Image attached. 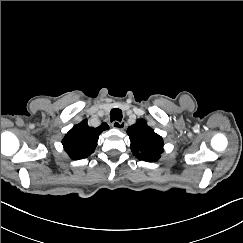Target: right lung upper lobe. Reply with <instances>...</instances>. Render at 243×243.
I'll use <instances>...</instances> for the list:
<instances>
[{
  "mask_svg": "<svg viewBox=\"0 0 243 243\" xmlns=\"http://www.w3.org/2000/svg\"><path fill=\"white\" fill-rule=\"evenodd\" d=\"M108 128L106 123L97 128L90 127L85 119L65 135L62 141L63 147L73 160L88 157L94 152L99 135Z\"/></svg>",
  "mask_w": 243,
  "mask_h": 243,
  "instance_id": "obj_1",
  "label": "right lung upper lobe"
}]
</instances>
